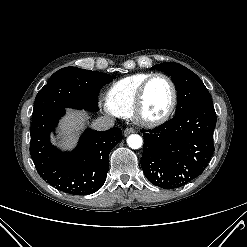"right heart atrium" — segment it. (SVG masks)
I'll list each match as a JSON object with an SVG mask.
<instances>
[{"mask_svg":"<svg viewBox=\"0 0 247 247\" xmlns=\"http://www.w3.org/2000/svg\"><path fill=\"white\" fill-rule=\"evenodd\" d=\"M104 109L107 113L111 115H115V113L108 107L107 103L105 104Z\"/></svg>","mask_w":247,"mask_h":247,"instance_id":"right-heart-atrium-1","label":"right heart atrium"}]
</instances>
